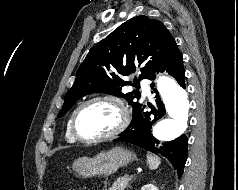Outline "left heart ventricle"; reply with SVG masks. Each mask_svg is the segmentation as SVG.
<instances>
[{
    "instance_id": "1",
    "label": "left heart ventricle",
    "mask_w": 238,
    "mask_h": 190,
    "mask_svg": "<svg viewBox=\"0 0 238 190\" xmlns=\"http://www.w3.org/2000/svg\"><path fill=\"white\" fill-rule=\"evenodd\" d=\"M119 120V111L112 103L95 102L80 112L77 129L84 137H97L112 131Z\"/></svg>"
}]
</instances>
